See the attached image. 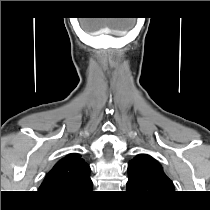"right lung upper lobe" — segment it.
<instances>
[{
	"label": "right lung upper lobe",
	"instance_id": "obj_1",
	"mask_svg": "<svg viewBox=\"0 0 210 210\" xmlns=\"http://www.w3.org/2000/svg\"><path fill=\"white\" fill-rule=\"evenodd\" d=\"M89 173L90 167L80 155L69 154L48 172L39 192L62 202L82 199L92 189Z\"/></svg>",
	"mask_w": 210,
	"mask_h": 210
}]
</instances>
